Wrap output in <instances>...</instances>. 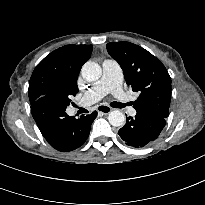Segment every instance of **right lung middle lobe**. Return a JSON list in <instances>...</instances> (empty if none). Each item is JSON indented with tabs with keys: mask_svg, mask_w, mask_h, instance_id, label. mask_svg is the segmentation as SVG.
<instances>
[{
	"mask_svg": "<svg viewBox=\"0 0 205 205\" xmlns=\"http://www.w3.org/2000/svg\"><path fill=\"white\" fill-rule=\"evenodd\" d=\"M77 93V90L71 91V90H64L60 94H58L64 101V105L68 106L71 102L70 98L72 96H75Z\"/></svg>",
	"mask_w": 205,
	"mask_h": 205,
	"instance_id": "right-lung-middle-lobe-1",
	"label": "right lung middle lobe"
}]
</instances>
